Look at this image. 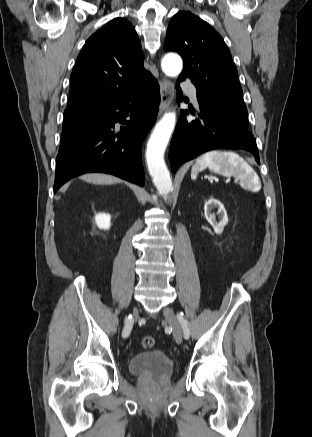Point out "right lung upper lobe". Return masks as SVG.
Masks as SVG:
<instances>
[{
    "mask_svg": "<svg viewBox=\"0 0 312 437\" xmlns=\"http://www.w3.org/2000/svg\"><path fill=\"white\" fill-rule=\"evenodd\" d=\"M136 31L115 18L94 33L83 46L71 74L68 109L96 111L136 87L150 74Z\"/></svg>",
    "mask_w": 312,
    "mask_h": 437,
    "instance_id": "cb5924a9",
    "label": "right lung upper lobe"
}]
</instances>
